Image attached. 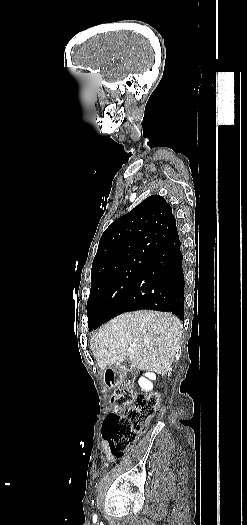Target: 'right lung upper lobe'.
<instances>
[{
	"mask_svg": "<svg viewBox=\"0 0 247 525\" xmlns=\"http://www.w3.org/2000/svg\"><path fill=\"white\" fill-rule=\"evenodd\" d=\"M177 232L171 206L159 195L149 196L104 231L91 273L128 267Z\"/></svg>",
	"mask_w": 247,
	"mask_h": 525,
	"instance_id": "right-lung-upper-lobe-1",
	"label": "right lung upper lobe"
}]
</instances>
